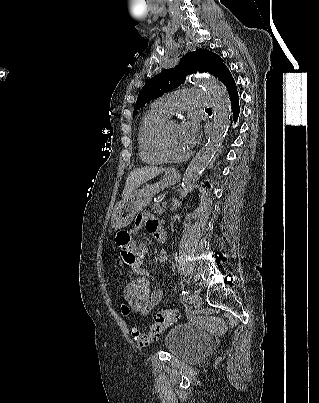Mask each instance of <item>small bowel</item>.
<instances>
[{
	"label": "small bowel",
	"mask_w": 319,
	"mask_h": 403,
	"mask_svg": "<svg viewBox=\"0 0 319 403\" xmlns=\"http://www.w3.org/2000/svg\"><path fill=\"white\" fill-rule=\"evenodd\" d=\"M135 229L141 230L145 229L153 238L158 242H164L166 239L165 232L160 226L159 221L150 213H140L135 219ZM115 249L121 250V262L128 263L131 265L133 272L136 275H150L149 272L143 268V260L149 252V248L145 244H138L135 242V234L130 233L129 227H122L121 230L115 231ZM167 261V253L165 251H160L158 254V262L165 263ZM101 263L107 262L106 256L100 257ZM128 285V283H127ZM127 285L125 287H127ZM125 291V288H124ZM152 300H150V309H147V313L156 305H158L163 296V292L160 288L152 289ZM124 298L125 292H124ZM121 301V308H122ZM130 308V301L129 306ZM134 318L135 311L133 310ZM147 313H138L140 315H146Z\"/></svg>",
	"instance_id": "1"
}]
</instances>
